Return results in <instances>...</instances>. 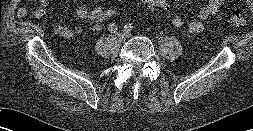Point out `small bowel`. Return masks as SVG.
I'll list each match as a JSON object with an SVG mask.
<instances>
[{"label":"small bowel","instance_id":"c3829d8e","mask_svg":"<svg viewBox=\"0 0 253 131\" xmlns=\"http://www.w3.org/2000/svg\"><path fill=\"white\" fill-rule=\"evenodd\" d=\"M226 0H208L207 4L200 8L197 16L194 19H188L182 15H175L172 17V24L176 28H182L188 26V30L191 34L201 33L206 26V22L211 17L215 16ZM40 11L42 14L51 10V5L47 0H40ZM104 6L100 5L92 10L85 7H78L76 10L77 16L83 21H90L93 23V30L95 32H100L102 30L103 20V10ZM28 9L22 6L18 9V16L25 17L27 15ZM83 31L80 25H76L74 28H69L63 25L54 26V32L63 38H72L75 35L81 34Z\"/></svg>","mask_w":253,"mask_h":131}]
</instances>
